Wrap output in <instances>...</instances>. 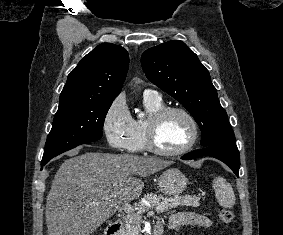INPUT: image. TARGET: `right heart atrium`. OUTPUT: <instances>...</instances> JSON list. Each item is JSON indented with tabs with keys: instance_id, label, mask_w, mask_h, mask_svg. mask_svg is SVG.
I'll list each match as a JSON object with an SVG mask.
<instances>
[{
	"instance_id": "obj_1",
	"label": "right heart atrium",
	"mask_w": 283,
	"mask_h": 235,
	"mask_svg": "<svg viewBox=\"0 0 283 235\" xmlns=\"http://www.w3.org/2000/svg\"><path fill=\"white\" fill-rule=\"evenodd\" d=\"M103 131L109 145L115 149L127 148L132 127V117L124 97H116L109 105L103 118Z\"/></svg>"
}]
</instances>
